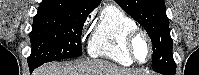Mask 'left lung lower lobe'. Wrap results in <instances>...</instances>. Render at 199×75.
I'll return each mask as SVG.
<instances>
[{"label": "left lung lower lobe", "mask_w": 199, "mask_h": 75, "mask_svg": "<svg viewBox=\"0 0 199 75\" xmlns=\"http://www.w3.org/2000/svg\"><path fill=\"white\" fill-rule=\"evenodd\" d=\"M175 70H176V65H174L166 70H159L158 72L163 75H175Z\"/></svg>", "instance_id": "1"}]
</instances>
